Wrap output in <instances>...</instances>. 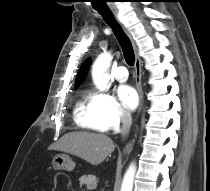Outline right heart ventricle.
<instances>
[{"instance_id": "1", "label": "right heart ventricle", "mask_w": 210, "mask_h": 191, "mask_svg": "<svg viewBox=\"0 0 210 191\" xmlns=\"http://www.w3.org/2000/svg\"><path fill=\"white\" fill-rule=\"evenodd\" d=\"M74 115H75V120L80 127L97 132L106 131V128L100 122L95 113L90 97L83 96L77 102Z\"/></svg>"}]
</instances>
